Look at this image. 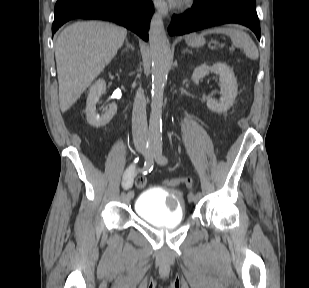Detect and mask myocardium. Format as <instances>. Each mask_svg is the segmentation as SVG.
Here are the masks:
<instances>
[{
    "instance_id": "f54148a6",
    "label": "myocardium",
    "mask_w": 309,
    "mask_h": 288,
    "mask_svg": "<svg viewBox=\"0 0 309 288\" xmlns=\"http://www.w3.org/2000/svg\"><path fill=\"white\" fill-rule=\"evenodd\" d=\"M191 2H192V0H184V4H185V5H190Z\"/></svg>"
}]
</instances>
